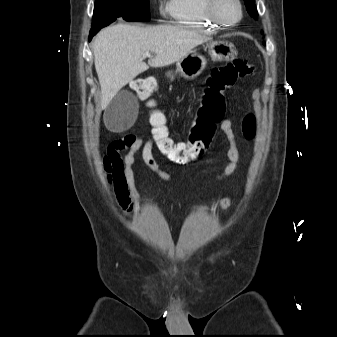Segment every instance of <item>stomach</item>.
I'll return each mask as SVG.
<instances>
[{
  "label": "stomach",
  "instance_id": "1",
  "mask_svg": "<svg viewBox=\"0 0 337 337\" xmlns=\"http://www.w3.org/2000/svg\"><path fill=\"white\" fill-rule=\"evenodd\" d=\"M208 53L213 60H229L236 53L232 43L224 40L210 41L206 45ZM207 64L206 58L197 50H191L182 59L176 62L175 75L192 80L202 73ZM171 76V73L167 74Z\"/></svg>",
  "mask_w": 337,
  "mask_h": 337
}]
</instances>
